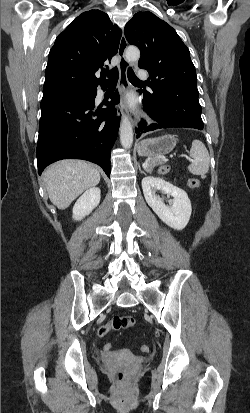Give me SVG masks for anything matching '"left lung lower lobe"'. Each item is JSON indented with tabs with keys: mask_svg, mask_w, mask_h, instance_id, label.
Listing matches in <instances>:
<instances>
[{
	"mask_svg": "<svg viewBox=\"0 0 250 413\" xmlns=\"http://www.w3.org/2000/svg\"><path fill=\"white\" fill-rule=\"evenodd\" d=\"M153 86H150L152 89ZM143 94L144 109L156 123L147 126L142 120L136 130L137 138L141 133L170 127H185L202 130L201 106L198 89L194 84L169 85L162 91L139 90Z\"/></svg>",
	"mask_w": 250,
	"mask_h": 413,
	"instance_id": "1",
	"label": "left lung lower lobe"
}]
</instances>
